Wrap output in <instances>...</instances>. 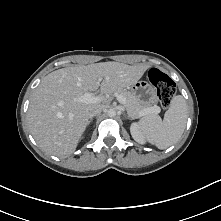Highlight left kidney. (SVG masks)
<instances>
[{
  "mask_svg": "<svg viewBox=\"0 0 221 221\" xmlns=\"http://www.w3.org/2000/svg\"><path fill=\"white\" fill-rule=\"evenodd\" d=\"M130 132H131V135L133 137V139L140 143V144H144L145 143V140H144V137L142 136V133L139 129V125L137 123H132L131 124V127H130Z\"/></svg>",
  "mask_w": 221,
  "mask_h": 221,
  "instance_id": "5707ae66",
  "label": "left kidney"
}]
</instances>
